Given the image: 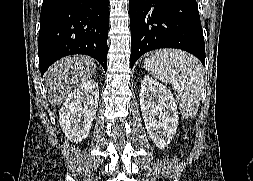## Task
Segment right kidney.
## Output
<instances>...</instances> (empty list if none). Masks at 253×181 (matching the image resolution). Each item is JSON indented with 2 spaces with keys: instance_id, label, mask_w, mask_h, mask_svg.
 I'll return each mask as SVG.
<instances>
[{
  "instance_id": "obj_1",
  "label": "right kidney",
  "mask_w": 253,
  "mask_h": 181,
  "mask_svg": "<svg viewBox=\"0 0 253 181\" xmlns=\"http://www.w3.org/2000/svg\"><path fill=\"white\" fill-rule=\"evenodd\" d=\"M99 100L98 83L89 80L71 92L59 112V123L70 141L85 139L96 115Z\"/></svg>"
}]
</instances>
